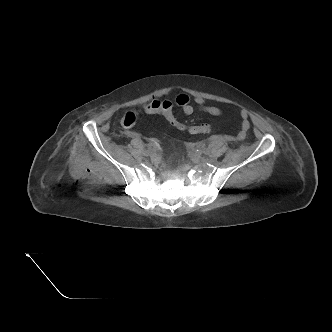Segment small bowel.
Returning <instances> with one entry per match:
<instances>
[{"label": "small bowel", "instance_id": "obj_1", "mask_svg": "<svg viewBox=\"0 0 332 332\" xmlns=\"http://www.w3.org/2000/svg\"><path fill=\"white\" fill-rule=\"evenodd\" d=\"M172 103L173 105L179 106L182 109L183 113L187 116L193 114L195 107L201 110L202 112H205L212 116H219L222 114L220 108L216 106L207 105L202 97H195L191 99L187 94H179L178 96H176V98ZM240 117H241V124H240V129L236 135L237 140H243L246 137L247 132L250 128L248 113L246 111H242L240 113Z\"/></svg>", "mask_w": 332, "mask_h": 332}]
</instances>
